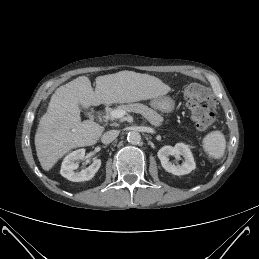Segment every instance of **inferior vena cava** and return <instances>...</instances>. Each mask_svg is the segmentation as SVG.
Here are the masks:
<instances>
[{
  "label": "inferior vena cava",
  "mask_w": 259,
  "mask_h": 259,
  "mask_svg": "<svg viewBox=\"0 0 259 259\" xmlns=\"http://www.w3.org/2000/svg\"><path fill=\"white\" fill-rule=\"evenodd\" d=\"M118 135H119L118 130L107 131L102 135L101 141L103 144H110L112 141H114L117 138Z\"/></svg>",
  "instance_id": "1"
}]
</instances>
